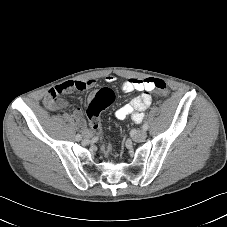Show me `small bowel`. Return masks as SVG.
<instances>
[{
    "mask_svg": "<svg viewBox=\"0 0 227 227\" xmlns=\"http://www.w3.org/2000/svg\"><path fill=\"white\" fill-rule=\"evenodd\" d=\"M107 83H113L116 81V77L113 75H108L105 78ZM153 78L146 79H137L130 78L122 82L121 90L124 93H131L134 91L142 92V94L133 97L127 104L123 105L119 109H117L114 113V116L118 120H123L127 117H131V119L139 124L145 118V110L151 105L152 97L149 94L154 88ZM77 84H82V88H77ZM96 85V81L94 79H89L86 81H67L64 82L48 93V95L44 99V103L46 106L52 109H61L67 106V103L64 100L59 99V95L63 93H67L72 91L73 89L78 90H86L93 88ZM56 94L57 97L53 99L52 94ZM93 96H90L92 98ZM73 117L77 121L78 127L81 129L83 133L88 131L86 122L82 119V110L80 108H76L73 111ZM108 145V144H107ZM108 148L110 149L109 145Z\"/></svg>",
    "mask_w": 227,
    "mask_h": 227,
    "instance_id": "obj_1",
    "label": "small bowel"
}]
</instances>
